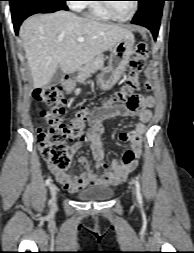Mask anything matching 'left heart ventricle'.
I'll use <instances>...</instances> for the list:
<instances>
[{"instance_id":"left-heart-ventricle-1","label":"left heart ventricle","mask_w":194,"mask_h":253,"mask_svg":"<svg viewBox=\"0 0 194 253\" xmlns=\"http://www.w3.org/2000/svg\"><path fill=\"white\" fill-rule=\"evenodd\" d=\"M110 7L112 8L113 12L120 18L128 17L134 7L133 1H115L109 3Z\"/></svg>"}]
</instances>
